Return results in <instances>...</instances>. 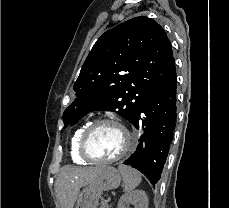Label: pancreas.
I'll return each instance as SVG.
<instances>
[{"label":"pancreas","instance_id":"pancreas-1","mask_svg":"<svg viewBox=\"0 0 229 208\" xmlns=\"http://www.w3.org/2000/svg\"><path fill=\"white\" fill-rule=\"evenodd\" d=\"M100 208H109V206H108L106 200H103V202H101Z\"/></svg>","mask_w":229,"mask_h":208}]
</instances>
